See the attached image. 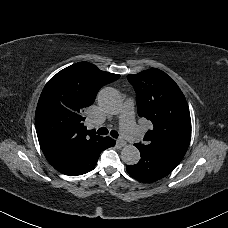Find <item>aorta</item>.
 I'll use <instances>...</instances> for the list:
<instances>
[{
  "mask_svg": "<svg viewBox=\"0 0 228 228\" xmlns=\"http://www.w3.org/2000/svg\"><path fill=\"white\" fill-rule=\"evenodd\" d=\"M100 108L108 114H117L121 108V97L118 91L111 87H105L98 94ZM121 159L128 165H135L140 160V152L134 145H126L121 151Z\"/></svg>",
  "mask_w": 228,
  "mask_h": 228,
  "instance_id": "1",
  "label": "aorta"
}]
</instances>
